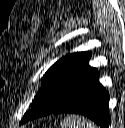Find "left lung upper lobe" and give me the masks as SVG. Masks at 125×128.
Wrapping results in <instances>:
<instances>
[{
  "mask_svg": "<svg viewBox=\"0 0 125 128\" xmlns=\"http://www.w3.org/2000/svg\"><path fill=\"white\" fill-rule=\"evenodd\" d=\"M89 59V52H76L55 62L43 76L33 100L34 108L24 115L21 123L52 114L64 106L81 78L93 69L88 64Z\"/></svg>",
  "mask_w": 125,
  "mask_h": 128,
  "instance_id": "obj_1",
  "label": "left lung upper lobe"
}]
</instances>
